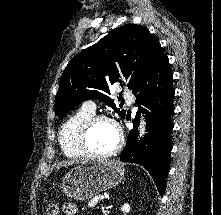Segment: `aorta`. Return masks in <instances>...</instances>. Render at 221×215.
Here are the masks:
<instances>
[{
  "label": "aorta",
  "instance_id": "762f6f07",
  "mask_svg": "<svg viewBox=\"0 0 221 215\" xmlns=\"http://www.w3.org/2000/svg\"><path fill=\"white\" fill-rule=\"evenodd\" d=\"M140 131H141V134L144 133V123L141 124Z\"/></svg>",
  "mask_w": 221,
  "mask_h": 215
}]
</instances>
